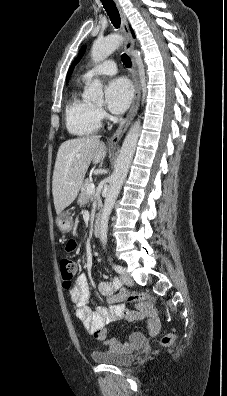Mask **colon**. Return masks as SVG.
<instances>
[{
  "instance_id": "obj_1",
  "label": "colon",
  "mask_w": 227,
  "mask_h": 396,
  "mask_svg": "<svg viewBox=\"0 0 227 396\" xmlns=\"http://www.w3.org/2000/svg\"><path fill=\"white\" fill-rule=\"evenodd\" d=\"M59 270L61 274L63 287L67 290L73 287L74 277L76 274V263L70 258H62L59 261ZM151 299L154 302H158V299L152 297L148 294H140V295H130L129 299ZM175 341V334L168 333L164 335L161 339V344L165 347L171 346Z\"/></svg>"
}]
</instances>
